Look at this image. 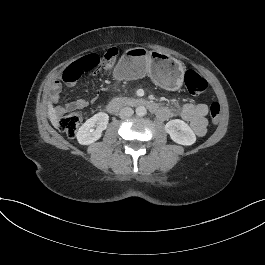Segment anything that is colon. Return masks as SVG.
Masks as SVG:
<instances>
[{"instance_id":"obj_1","label":"colon","mask_w":265,"mask_h":265,"mask_svg":"<svg viewBox=\"0 0 265 265\" xmlns=\"http://www.w3.org/2000/svg\"><path fill=\"white\" fill-rule=\"evenodd\" d=\"M116 56L117 51L115 49H109L102 57L97 54H89L69 65L62 73L61 78L66 83H74L85 72L93 70L109 71L114 66ZM184 83L193 96L202 95L208 88L207 80L192 69L185 72ZM220 111V104L213 102L210 106L212 124H217ZM81 121V113H70L59 120L58 127L67 136L72 137L79 128Z\"/></svg>"}]
</instances>
